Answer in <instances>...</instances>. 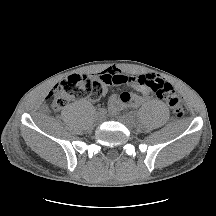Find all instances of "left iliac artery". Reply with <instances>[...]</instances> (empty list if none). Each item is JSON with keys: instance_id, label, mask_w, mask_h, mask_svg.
I'll use <instances>...</instances> for the list:
<instances>
[{"instance_id": "left-iliac-artery-1", "label": "left iliac artery", "mask_w": 216, "mask_h": 216, "mask_svg": "<svg viewBox=\"0 0 216 216\" xmlns=\"http://www.w3.org/2000/svg\"><path fill=\"white\" fill-rule=\"evenodd\" d=\"M129 115L132 116V117H135L136 113H134V112H130Z\"/></svg>"}]
</instances>
